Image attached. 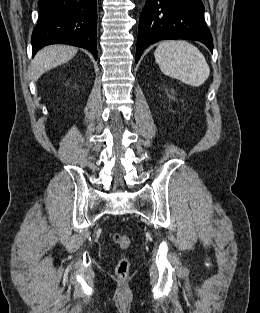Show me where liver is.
Masks as SVG:
<instances>
[{
  "label": "liver",
  "mask_w": 260,
  "mask_h": 313,
  "mask_svg": "<svg viewBox=\"0 0 260 313\" xmlns=\"http://www.w3.org/2000/svg\"><path fill=\"white\" fill-rule=\"evenodd\" d=\"M77 49L67 45H50L41 49L31 62L30 75L32 80L72 59Z\"/></svg>",
  "instance_id": "6515ba94"
}]
</instances>
